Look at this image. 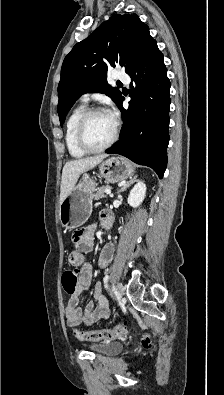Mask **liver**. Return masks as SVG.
<instances>
[{"mask_svg": "<svg viewBox=\"0 0 224 395\" xmlns=\"http://www.w3.org/2000/svg\"><path fill=\"white\" fill-rule=\"evenodd\" d=\"M106 157L107 154L85 157L69 161L64 165L60 188V204L74 189L80 175L101 163Z\"/></svg>", "mask_w": 224, "mask_h": 395, "instance_id": "liver-1", "label": "liver"}]
</instances>
